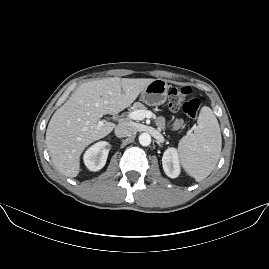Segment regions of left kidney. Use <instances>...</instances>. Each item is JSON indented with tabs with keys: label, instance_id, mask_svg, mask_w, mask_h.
<instances>
[{
	"label": "left kidney",
	"instance_id": "left-kidney-1",
	"mask_svg": "<svg viewBox=\"0 0 269 269\" xmlns=\"http://www.w3.org/2000/svg\"><path fill=\"white\" fill-rule=\"evenodd\" d=\"M162 165L165 174L170 178H176L180 174L178 153L175 148L165 150L162 157Z\"/></svg>",
	"mask_w": 269,
	"mask_h": 269
}]
</instances>
